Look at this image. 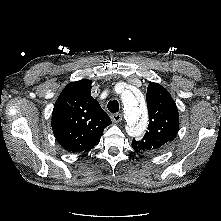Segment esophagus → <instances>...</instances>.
I'll return each mask as SVG.
<instances>
[{"label": "esophagus", "mask_w": 221, "mask_h": 221, "mask_svg": "<svg viewBox=\"0 0 221 221\" xmlns=\"http://www.w3.org/2000/svg\"><path fill=\"white\" fill-rule=\"evenodd\" d=\"M111 119L113 122L119 123L120 121H122V115L120 113H114L111 115Z\"/></svg>", "instance_id": "1"}]
</instances>
